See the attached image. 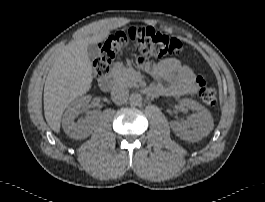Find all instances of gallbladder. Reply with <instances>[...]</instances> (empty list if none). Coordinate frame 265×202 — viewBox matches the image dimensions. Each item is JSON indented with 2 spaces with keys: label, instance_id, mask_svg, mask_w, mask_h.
Here are the masks:
<instances>
[{
  "label": "gallbladder",
  "instance_id": "1",
  "mask_svg": "<svg viewBox=\"0 0 265 202\" xmlns=\"http://www.w3.org/2000/svg\"><path fill=\"white\" fill-rule=\"evenodd\" d=\"M87 54L91 60L96 59L99 54L98 45L96 43H90L87 47Z\"/></svg>",
  "mask_w": 265,
  "mask_h": 202
}]
</instances>
